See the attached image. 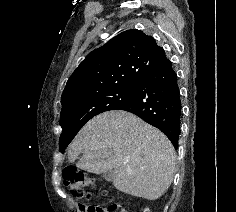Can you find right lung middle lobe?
Instances as JSON below:
<instances>
[{"mask_svg": "<svg viewBox=\"0 0 236 212\" xmlns=\"http://www.w3.org/2000/svg\"><path fill=\"white\" fill-rule=\"evenodd\" d=\"M136 86L121 87L93 94L62 107L60 126L63 131L59 138V148L63 153L82 126L94 116L109 110H115L128 101Z\"/></svg>", "mask_w": 236, "mask_h": 212, "instance_id": "obj_1", "label": "right lung middle lobe"}]
</instances>
